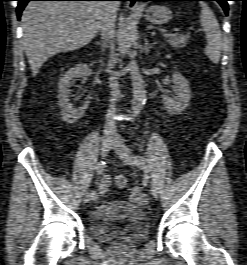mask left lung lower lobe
<instances>
[{
	"label": "left lung lower lobe",
	"mask_w": 247,
	"mask_h": 265,
	"mask_svg": "<svg viewBox=\"0 0 247 265\" xmlns=\"http://www.w3.org/2000/svg\"><path fill=\"white\" fill-rule=\"evenodd\" d=\"M137 1H177V0H137ZM192 1H217L221 7L224 9L225 14H228V4L229 0H192Z\"/></svg>",
	"instance_id": "left-lung-lower-lobe-1"
}]
</instances>
